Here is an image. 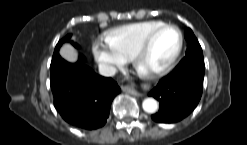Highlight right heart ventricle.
<instances>
[{
    "instance_id": "e07e8e85",
    "label": "right heart ventricle",
    "mask_w": 247,
    "mask_h": 145,
    "mask_svg": "<svg viewBox=\"0 0 247 145\" xmlns=\"http://www.w3.org/2000/svg\"><path fill=\"white\" fill-rule=\"evenodd\" d=\"M162 24L151 20L121 25L106 33V41L125 59H130L145 37Z\"/></svg>"
}]
</instances>
